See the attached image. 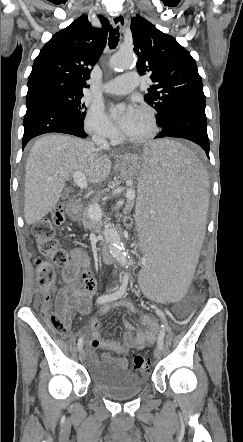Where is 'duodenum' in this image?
I'll use <instances>...</instances> for the list:
<instances>
[{"label":"duodenum","mask_w":243,"mask_h":442,"mask_svg":"<svg viewBox=\"0 0 243 442\" xmlns=\"http://www.w3.org/2000/svg\"><path fill=\"white\" fill-rule=\"evenodd\" d=\"M79 206H80L79 199H71L68 204V209H67L68 213L69 214H76ZM100 254H101V258L104 262H111L113 260L111 250H110L109 246H107V245H104L101 248Z\"/></svg>","instance_id":"obj_1"}]
</instances>
